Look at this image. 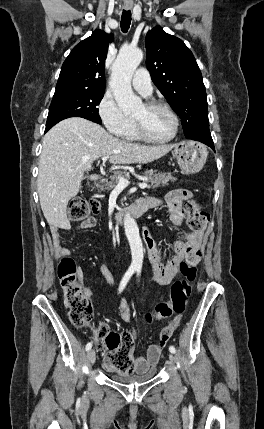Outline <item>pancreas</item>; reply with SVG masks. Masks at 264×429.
Segmentation results:
<instances>
[{"label":"pancreas","instance_id":"1","mask_svg":"<svg viewBox=\"0 0 264 429\" xmlns=\"http://www.w3.org/2000/svg\"><path fill=\"white\" fill-rule=\"evenodd\" d=\"M119 177L129 178V173L125 171H117L110 178L101 179L98 183L95 184L96 189L104 191L112 190L116 184H118ZM145 177H147L146 182H149L150 185L148 188H157L160 186H166L169 181H175L176 178L171 175V173H154L153 171H146Z\"/></svg>","mask_w":264,"mask_h":429}]
</instances>
